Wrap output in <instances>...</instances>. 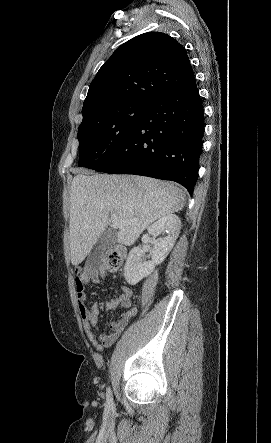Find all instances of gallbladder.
Instances as JSON below:
<instances>
[{
  "label": "gallbladder",
  "instance_id": "obj_1",
  "mask_svg": "<svg viewBox=\"0 0 271 443\" xmlns=\"http://www.w3.org/2000/svg\"><path fill=\"white\" fill-rule=\"evenodd\" d=\"M117 237L116 231L113 229H106L103 231L102 235L98 237V241L96 243V251L91 252L92 260H84L83 268L84 269H104L105 261L107 259V252L101 251L104 247H112V245H116Z\"/></svg>",
  "mask_w": 271,
  "mask_h": 443
}]
</instances>
